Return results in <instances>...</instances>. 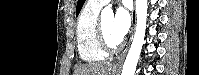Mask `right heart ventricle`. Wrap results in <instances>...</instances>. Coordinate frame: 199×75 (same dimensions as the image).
I'll return each instance as SVG.
<instances>
[{
	"instance_id": "e07e8e85",
	"label": "right heart ventricle",
	"mask_w": 199,
	"mask_h": 75,
	"mask_svg": "<svg viewBox=\"0 0 199 75\" xmlns=\"http://www.w3.org/2000/svg\"><path fill=\"white\" fill-rule=\"evenodd\" d=\"M100 7L91 6L89 3L81 12L77 27L76 41L80 58L88 63H96L107 56L97 41L96 24L99 19Z\"/></svg>"
}]
</instances>
